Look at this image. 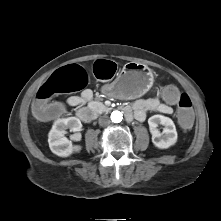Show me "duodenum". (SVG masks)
<instances>
[{
    "mask_svg": "<svg viewBox=\"0 0 221 221\" xmlns=\"http://www.w3.org/2000/svg\"><path fill=\"white\" fill-rule=\"evenodd\" d=\"M120 109L124 112V114L128 120L132 119V111L129 107L124 106V107H121ZM76 116L83 123H90L93 120V113H92L91 109H89L87 107L80 108L76 112Z\"/></svg>",
    "mask_w": 221,
    "mask_h": 221,
    "instance_id": "410a0bca",
    "label": "duodenum"
}]
</instances>
